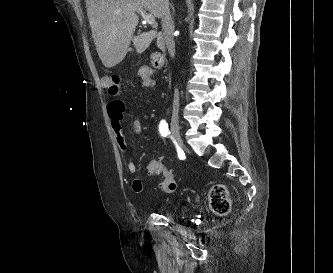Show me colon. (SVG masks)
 <instances>
[{"mask_svg":"<svg viewBox=\"0 0 333 273\" xmlns=\"http://www.w3.org/2000/svg\"><path fill=\"white\" fill-rule=\"evenodd\" d=\"M150 63L154 68H162L165 65L164 54L154 52L150 57ZM102 84L111 95H116L120 92V77L118 75L105 77ZM146 170L150 176L159 180L158 186L164 193H172L175 190L174 175L160 160H148ZM209 203L216 214L226 215L231 209L227 188L222 184L214 185L209 191Z\"/></svg>","mask_w":333,"mask_h":273,"instance_id":"obj_1","label":"colon"}]
</instances>
